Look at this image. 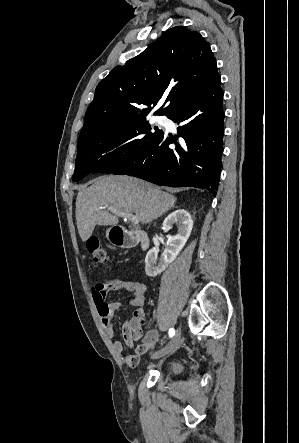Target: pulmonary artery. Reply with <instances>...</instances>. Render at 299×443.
<instances>
[{"label": "pulmonary artery", "mask_w": 299, "mask_h": 443, "mask_svg": "<svg viewBox=\"0 0 299 443\" xmlns=\"http://www.w3.org/2000/svg\"><path fill=\"white\" fill-rule=\"evenodd\" d=\"M155 119H156V120H159V119H160V117H157V116H156V117H155Z\"/></svg>", "instance_id": "obj_1"}]
</instances>
